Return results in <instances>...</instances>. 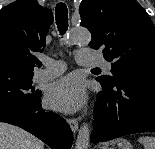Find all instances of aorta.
<instances>
[{"mask_svg":"<svg viewBox=\"0 0 155 149\" xmlns=\"http://www.w3.org/2000/svg\"><path fill=\"white\" fill-rule=\"evenodd\" d=\"M91 37L86 29L73 30L66 39V43L74 45L78 43L86 44ZM90 141V127L87 123H83L79 129L75 149H88Z\"/></svg>","mask_w":155,"mask_h":149,"instance_id":"1","label":"aorta"}]
</instances>
